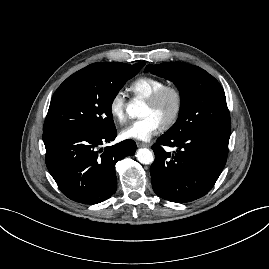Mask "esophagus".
Returning a JSON list of instances; mask_svg holds the SVG:
<instances>
[{
    "label": "esophagus",
    "instance_id": "34e87169",
    "mask_svg": "<svg viewBox=\"0 0 269 269\" xmlns=\"http://www.w3.org/2000/svg\"><path fill=\"white\" fill-rule=\"evenodd\" d=\"M137 147H149V144L144 143V142H137Z\"/></svg>",
    "mask_w": 269,
    "mask_h": 269
}]
</instances>
